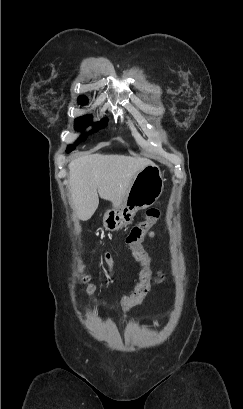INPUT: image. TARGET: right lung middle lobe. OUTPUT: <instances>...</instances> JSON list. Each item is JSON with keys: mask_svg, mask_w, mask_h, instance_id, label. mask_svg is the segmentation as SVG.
I'll list each match as a JSON object with an SVG mask.
<instances>
[{"mask_svg": "<svg viewBox=\"0 0 243 409\" xmlns=\"http://www.w3.org/2000/svg\"><path fill=\"white\" fill-rule=\"evenodd\" d=\"M91 123H92V117H91V116L79 117V118H77V119L75 120V128H76L77 130H81V129L85 128L86 126H88V125L91 124ZM106 125H107V119H103V120H101L100 122L94 124V126H95L94 130H97V129H99V128H103V127H105ZM86 136H87V134L82 135V136L80 137V139L77 141V143L80 142V141L85 140ZM74 149H75V144L69 146V147L67 148L68 153H69L70 151L74 150Z\"/></svg>", "mask_w": 243, "mask_h": 409, "instance_id": "right-lung-middle-lobe-1", "label": "right lung middle lobe"}]
</instances>
